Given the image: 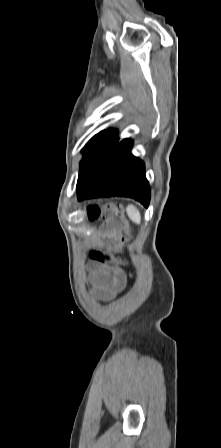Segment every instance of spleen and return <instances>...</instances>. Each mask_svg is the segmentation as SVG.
Wrapping results in <instances>:
<instances>
[{
    "label": "spleen",
    "mask_w": 221,
    "mask_h": 448,
    "mask_svg": "<svg viewBox=\"0 0 221 448\" xmlns=\"http://www.w3.org/2000/svg\"><path fill=\"white\" fill-rule=\"evenodd\" d=\"M127 215L129 216V218L133 221V222H135V223H137V224H140L141 223V215H140V212H139V210L134 206V205H129L128 207H127Z\"/></svg>",
    "instance_id": "1"
}]
</instances>
